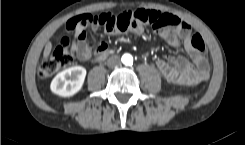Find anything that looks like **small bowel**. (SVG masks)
<instances>
[{
    "mask_svg": "<svg viewBox=\"0 0 245 145\" xmlns=\"http://www.w3.org/2000/svg\"><path fill=\"white\" fill-rule=\"evenodd\" d=\"M87 25L84 22L75 27V31L80 38H82ZM92 28L95 31L97 27L92 25ZM136 32L143 34L144 29L139 27L136 29ZM156 34L161 40L173 47H183L191 59L189 61L183 56H176L168 58L167 61L158 60L156 63L157 69L166 81L178 85L194 86L208 79L209 67L207 59L193 47L191 43V29L187 22L181 21L176 32L168 28H160L156 30ZM78 46V59L80 61H88L91 58L92 50L83 41H80ZM106 49L107 43L101 40L93 52L98 55Z\"/></svg>",
    "mask_w": 245,
    "mask_h": 145,
    "instance_id": "small-bowel-1",
    "label": "small bowel"
}]
</instances>
